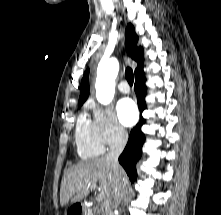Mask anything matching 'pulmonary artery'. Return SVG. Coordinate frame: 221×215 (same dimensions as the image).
Listing matches in <instances>:
<instances>
[{
  "instance_id": "1",
  "label": "pulmonary artery",
  "mask_w": 221,
  "mask_h": 215,
  "mask_svg": "<svg viewBox=\"0 0 221 215\" xmlns=\"http://www.w3.org/2000/svg\"><path fill=\"white\" fill-rule=\"evenodd\" d=\"M118 89L121 93H125V94L129 93L130 91V87L126 81H121L118 85Z\"/></svg>"
}]
</instances>
